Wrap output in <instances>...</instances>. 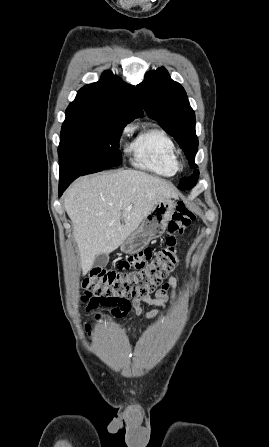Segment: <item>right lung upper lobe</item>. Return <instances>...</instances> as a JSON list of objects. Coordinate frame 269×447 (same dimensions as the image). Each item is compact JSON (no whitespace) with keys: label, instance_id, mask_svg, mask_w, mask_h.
<instances>
[{"label":"right lung upper lobe","instance_id":"obj_1","mask_svg":"<svg viewBox=\"0 0 269 447\" xmlns=\"http://www.w3.org/2000/svg\"><path fill=\"white\" fill-rule=\"evenodd\" d=\"M143 116L136 88L124 83L111 71L100 80L84 86L66 109V117L131 122Z\"/></svg>","mask_w":269,"mask_h":447}]
</instances>
